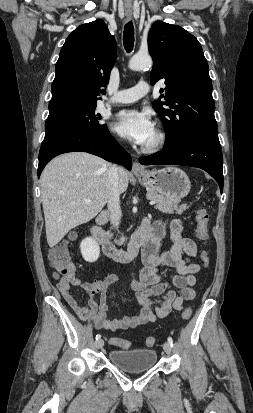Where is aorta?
<instances>
[{"instance_id": "1", "label": "aorta", "mask_w": 253, "mask_h": 413, "mask_svg": "<svg viewBox=\"0 0 253 413\" xmlns=\"http://www.w3.org/2000/svg\"><path fill=\"white\" fill-rule=\"evenodd\" d=\"M152 66V58L149 55H134L129 61V68L134 71L143 70Z\"/></svg>"}]
</instances>
